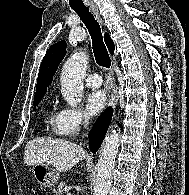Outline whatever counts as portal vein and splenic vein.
Here are the masks:
<instances>
[{
    "instance_id": "1",
    "label": "portal vein and splenic vein",
    "mask_w": 189,
    "mask_h": 195,
    "mask_svg": "<svg viewBox=\"0 0 189 195\" xmlns=\"http://www.w3.org/2000/svg\"><path fill=\"white\" fill-rule=\"evenodd\" d=\"M67 195H72L71 193H67Z\"/></svg>"
}]
</instances>
